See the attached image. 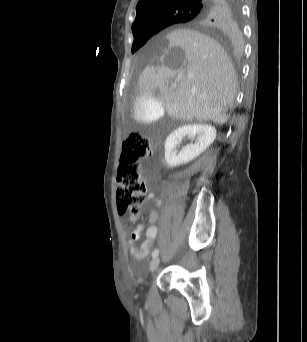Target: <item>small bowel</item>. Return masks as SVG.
<instances>
[{"mask_svg":"<svg viewBox=\"0 0 307 342\" xmlns=\"http://www.w3.org/2000/svg\"><path fill=\"white\" fill-rule=\"evenodd\" d=\"M153 198L154 196L152 194L148 195L149 200H152ZM157 205L160 206L161 201H157ZM157 220L158 214L156 211L152 210L149 214L150 226L146 229V239L141 243L139 247H137L135 243L140 238L141 232L144 229V225H138V227L130 234L128 240L129 252L136 260H142L143 258H145L152 248L153 241L157 235Z\"/></svg>","mask_w":307,"mask_h":342,"instance_id":"1","label":"small bowel"}]
</instances>
